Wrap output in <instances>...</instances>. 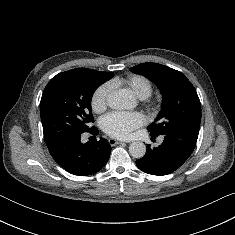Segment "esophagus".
I'll use <instances>...</instances> for the list:
<instances>
[{
	"mask_svg": "<svg viewBox=\"0 0 235 235\" xmlns=\"http://www.w3.org/2000/svg\"><path fill=\"white\" fill-rule=\"evenodd\" d=\"M108 141H109V144H110L111 146H114V145L123 143V141L117 140V139H114V138H110Z\"/></svg>",
	"mask_w": 235,
	"mask_h": 235,
	"instance_id": "obj_1",
	"label": "esophagus"
}]
</instances>
